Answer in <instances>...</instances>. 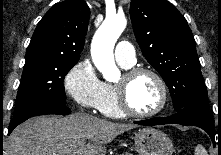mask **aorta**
Here are the masks:
<instances>
[{
    "instance_id": "aorta-1",
    "label": "aorta",
    "mask_w": 221,
    "mask_h": 155,
    "mask_svg": "<svg viewBox=\"0 0 221 155\" xmlns=\"http://www.w3.org/2000/svg\"><path fill=\"white\" fill-rule=\"evenodd\" d=\"M126 25L127 20L124 16L106 18L92 40V60L104 79L110 82L117 80L120 76L114 61L113 49Z\"/></svg>"
}]
</instances>
